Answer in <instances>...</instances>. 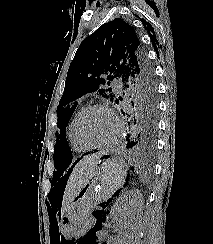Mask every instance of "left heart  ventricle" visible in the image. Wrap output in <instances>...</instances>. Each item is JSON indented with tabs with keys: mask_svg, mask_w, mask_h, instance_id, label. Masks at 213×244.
<instances>
[{
	"mask_svg": "<svg viewBox=\"0 0 213 244\" xmlns=\"http://www.w3.org/2000/svg\"><path fill=\"white\" fill-rule=\"evenodd\" d=\"M115 124L104 110H92L81 125L83 136L90 142L99 143L108 140L114 133Z\"/></svg>",
	"mask_w": 213,
	"mask_h": 244,
	"instance_id": "b2bd125f",
	"label": "left heart ventricle"
}]
</instances>
